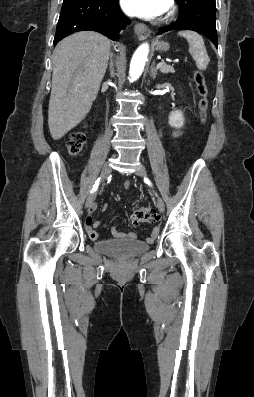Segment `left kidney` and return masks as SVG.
Returning a JSON list of instances; mask_svg holds the SVG:
<instances>
[{
	"instance_id": "obj_1",
	"label": "left kidney",
	"mask_w": 254,
	"mask_h": 397,
	"mask_svg": "<svg viewBox=\"0 0 254 397\" xmlns=\"http://www.w3.org/2000/svg\"><path fill=\"white\" fill-rule=\"evenodd\" d=\"M169 124L174 128H181L184 124V117L182 111L175 110L172 111L169 115Z\"/></svg>"
}]
</instances>
